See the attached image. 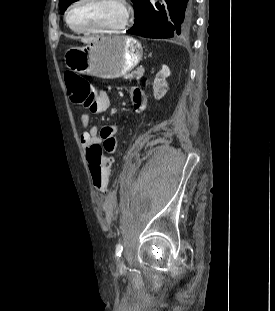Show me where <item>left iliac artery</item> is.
<instances>
[{
	"mask_svg": "<svg viewBox=\"0 0 275 311\" xmlns=\"http://www.w3.org/2000/svg\"><path fill=\"white\" fill-rule=\"evenodd\" d=\"M122 250H123V246L121 243H119L117 246H116V256L120 257L121 256V253H122Z\"/></svg>",
	"mask_w": 275,
	"mask_h": 311,
	"instance_id": "obj_1",
	"label": "left iliac artery"
}]
</instances>
